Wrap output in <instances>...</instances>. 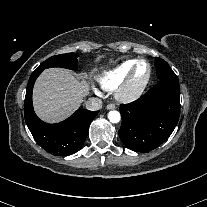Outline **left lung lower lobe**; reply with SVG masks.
<instances>
[{
  "label": "left lung lower lobe",
  "instance_id": "0a47b994",
  "mask_svg": "<svg viewBox=\"0 0 207 207\" xmlns=\"http://www.w3.org/2000/svg\"><path fill=\"white\" fill-rule=\"evenodd\" d=\"M122 124L119 137L137 152H149L160 146L173 132L180 115L178 77L159 82L138 100L120 107Z\"/></svg>",
  "mask_w": 207,
  "mask_h": 207
}]
</instances>
